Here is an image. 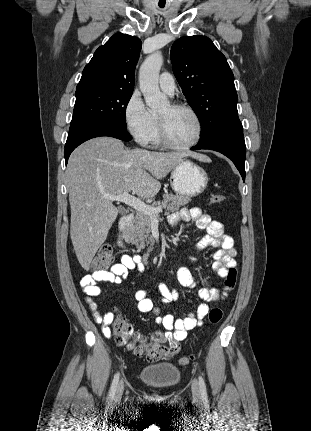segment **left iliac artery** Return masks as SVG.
Returning <instances> with one entry per match:
<instances>
[{
    "label": "left iliac artery",
    "instance_id": "44dca946",
    "mask_svg": "<svg viewBox=\"0 0 311 431\" xmlns=\"http://www.w3.org/2000/svg\"><path fill=\"white\" fill-rule=\"evenodd\" d=\"M199 385H200V392H201V396L203 401H207V390H206V385L204 382V379L202 378V376H199Z\"/></svg>",
    "mask_w": 311,
    "mask_h": 431
}]
</instances>
